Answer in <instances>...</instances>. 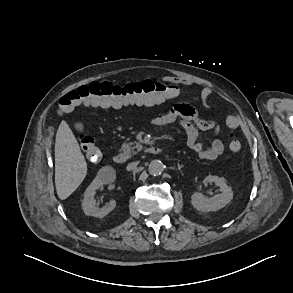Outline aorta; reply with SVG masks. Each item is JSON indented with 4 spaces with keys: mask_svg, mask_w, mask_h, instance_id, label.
Instances as JSON below:
<instances>
[{
    "mask_svg": "<svg viewBox=\"0 0 293 293\" xmlns=\"http://www.w3.org/2000/svg\"><path fill=\"white\" fill-rule=\"evenodd\" d=\"M148 170L151 175H160L164 171V164L160 160H152Z\"/></svg>",
    "mask_w": 293,
    "mask_h": 293,
    "instance_id": "aorta-1",
    "label": "aorta"
}]
</instances>
